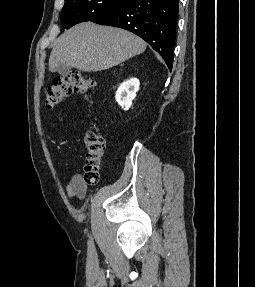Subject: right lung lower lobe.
Returning <instances> with one entry per match:
<instances>
[{
	"label": "right lung lower lobe",
	"mask_w": 255,
	"mask_h": 287,
	"mask_svg": "<svg viewBox=\"0 0 255 287\" xmlns=\"http://www.w3.org/2000/svg\"><path fill=\"white\" fill-rule=\"evenodd\" d=\"M178 0H125L91 22L120 27L144 39L172 69Z\"/></svg>",
	"instance_id": "1"
}]
</instances>
